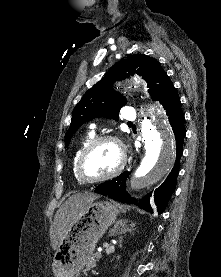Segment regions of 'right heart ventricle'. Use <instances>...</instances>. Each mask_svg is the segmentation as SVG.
Segmentation results:
<instances>
[{
	"label": "right heart ventricle",
	"instance_id": "obj_1",
	"mask_svg": "<svg viewBox=\"0 0 221 277\" xmlns=\"http://www.w3.org/2000/svg\"><path fill=\"white\" fill-rule=\"evenodd\" d=\"M94 138V133L93 132H89L80 142V144L78 145V147L76 148L74 155H73V160H72V170H73V174L74 177L76 178L77 181H81L76 174V170H75V166H76V161L81 153V151L84 149V147L90 142L92 141Z\"/></svg>",
	"mask_w": 221,
	"mask_h": 277
}]
</instances>
